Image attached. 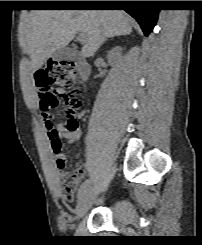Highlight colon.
<instances>
[{"label":"colon","instance_id":"5ec220e1","mask_svg":"<svg viewBox=\"0 0 202 245\" xmlns=\"http://www.w3.org/2000/svg\"><path fill=\"white\" fill-rule=\"evenodd\" d=\"M34 78L37 86L38 110L47 127H51L54 122L53 93L65 102L70 118H74L82 109L84 101L82 91L77 86L78 70L74 61L61 60L41 67L36 70ZM75 126L74 119L66 123L68 130ZM48 137L52 140L55 150L62 148V141L56 130L49 131Z\"/></svg>","mask_w":202,"mask_h":245}]
</instances>
